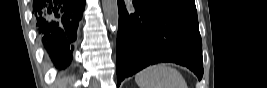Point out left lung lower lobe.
<instances>
[{"label": "left lung lower lobe", "instance_id": "obj_1", "mask_svg": "<svg viewBox=\"0 0 267 88\" xmlns=\"http://www.w3.org/2000/svg\"><path fill=\"white\" fill-rule=\"evenodd\" d=\"M135 12L118 0L117 86L141 69L159 62H173L203 75L202 41L196 17L146 8L133 1Z\"/></svg>", "mask_w": 267, "mask_h": 88}]
</instances>
